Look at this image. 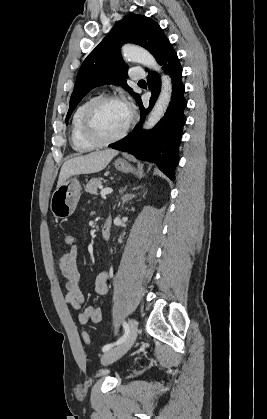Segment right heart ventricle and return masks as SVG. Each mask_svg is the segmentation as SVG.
<instances>
[{"label":"right heart ventricle","instance_id":"right-heart-ventricle-1","mask_svg":"<svg viewBox=\"0 0 267 419\" xmlns=\"http://www.w3.org/2000/svg\"><path fill=\"white\" fill-rule=\"evenodd\" d=\"M95 97H89L80 103L77 108L75 109L72 120H71V145L72 148L79 153H87L94 150L97 146L88 142L81 133V119L83 112L87 105L94 99Z\"/></svg>","mask_w":267,"mask_h":419}]
</instances>
